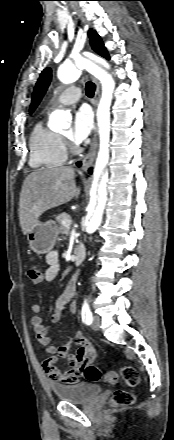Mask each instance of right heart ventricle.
I'll use <instances>...</instances> for the list:
<instances>
[{"instance_id": "obj_1", "label": "right heart ventricle", "mask_w": 174, "mask_h": 440, "mask_svg": "<svg viewBox=\"0 0 174 440\" xmlns=\"http://www.w3.org/2000/svg\"><path fill=\"white\" fill-rule=\"evenodd\" d=\"M29 164L32 168H53L61 166L67 158L61 135L47 128L39 121L29 137Z\"/></svg>"}]
</instances>
